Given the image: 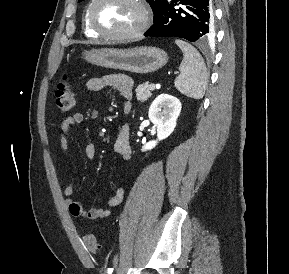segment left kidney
I'll list each match as a JSON object with an SVG mask.
<instances>
[{"label": "left kidney", "mask_w": 289, "mask_h": 274, "mask_svg": "<svg viewBox=\"0 0 289 274\" xmlns=\"http://www.w3.org/2000/svg\"><path fill=\"white\" fill-rule=\"evenodd\" d=\"M181 112V102L169 94L159 95L149 108V119L157 127V140H152L142 147V151L153 149L158 141L167 138L175 129Z\"/></svg>", "instance_id": "1"}]
</instances>
